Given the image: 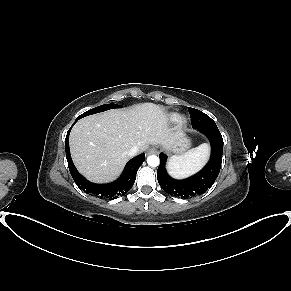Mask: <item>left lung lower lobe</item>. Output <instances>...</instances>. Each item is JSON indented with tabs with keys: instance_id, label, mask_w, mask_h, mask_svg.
<instances>
[{
	"instance_id": "left-lung-lower-lobe-1",
	"label": "left lung lower lobe",
	"mask_w": 291,
	"mask_h": 291,
	"mask_svg": "<svg viewBox=\"0 0 291 291\" xmlns=\"http://www.w3.org/2000/svg\"><path fill=\"white\" fill-rule=\"evenodd\" d=\"M197 123L192 122L194 129L203 133L210 140L211 155L207 165L197 174L184 179L171 178L166 171L167 156L159 154L160 165L157 179L161 188L169 195L180 198H191L203 194L215 182L221 168L223 155V139L215 122L206 114L201 113Z\"/></svg>"
}]
</instances>
